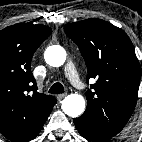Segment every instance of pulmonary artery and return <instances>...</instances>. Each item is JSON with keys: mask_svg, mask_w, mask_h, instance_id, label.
Masks as SVG:
<instances>
[{"mask_svg": "<svg viewBox=\"0 0 142 142\" xmlns=\"http://www.w3.org/2000/svg\"><path fill=\"white\" fill-rule=\"evenodd\" d=\"M65 75L68 80L76 87H80L82 85L81 80L79 78L78 72L72 61H69L64 69Z\"/></svg>", "mask_w": 142, "mask_h": 142, "instance_id": "e3ab8cb5", "label": "pulmonary artery"}]
</instances>
